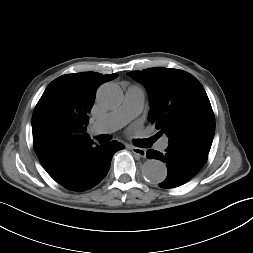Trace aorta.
<instances>
[{
	"label": "aorta",
	"mask_w": 253,
	"mask_h": 253,
	"mask_svg": "<svg viewBox=\"0 0 253 253\" xmlns=\"http://www.w3.org/2000/svg\"><path fill=\"white\" fill-rule=\"evenodd\" d=\"M122 99V91L116 84L106 83L98 89L97 100L103 108H116L121 104ZM142 173L150 182L158 184L165 180L167 168L163 162L151 159L143 164Z\"/></svg>",
	"instance_id": "aorta-1"
}]
</instances>
